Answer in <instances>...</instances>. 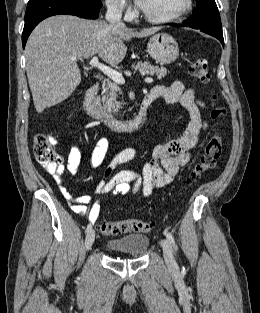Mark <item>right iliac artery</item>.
Segmentation results:
<instances>
[{"label": "right iliac artery", "instance_id": "1", "mask_svg": "<svg viewBox=\"0 0 260 313\" xmlns=\"http://www.w3.org/2000/svg\"><path fill=\"white\" fill-rule=\"evenodd\" d=\"M91 228H92L91 224H88V226L86 228V232H88Z\"/></svg>", "mask_w": 260, "mask_h": 313}]
</instances>
